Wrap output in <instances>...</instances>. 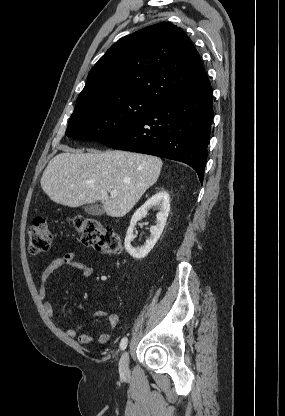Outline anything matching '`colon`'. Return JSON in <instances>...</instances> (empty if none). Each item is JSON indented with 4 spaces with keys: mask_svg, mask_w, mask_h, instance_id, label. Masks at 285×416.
I'll return each instance as SVG.
<instances>
[{
    "mask_svg": "<svg viewBox=\"0 0 285 416\" xmlns=\"http://www.w3.org/2000/svg\"><path fill=\"white\" fill-rule=\"evenodd\" d=\"M71 223L84 245L95 247L97 250L109 254L122 252L123 245L118 232L114 228L102 224L100 220L78 216L72 218ZM52 239L47 221L41 217L37 218L28 231L30 253L37 255L47 252L51 247Z\"/></svg>",
    "mask_w": 285,
    "mask_h": 416,
    "instance_id": "colon-1",
    "label": "colon"
}]
</instances>
